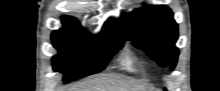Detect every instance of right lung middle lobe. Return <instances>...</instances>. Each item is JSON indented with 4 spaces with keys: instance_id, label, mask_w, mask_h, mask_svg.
<instances>
[{
    "instance_id": "right-lung-middle-lobe-1",
    "label": "right lung middle lobe",
    "mask_w": 220,
    "mask_h": 91,
    "mask_svg": "<svg viewBox=\"0 0 220 91\" xmlns=\"http://www.w3.org/2000/svg\"><path fill=\"white\" fill-rule=\"evenodd\" d=\"M53 46L59 55L53 57L55 71L64 72V83L102 71L112 56L123 46L124 39L116 32L87 34L83 28L56 30Z\"/></svg>"
}]
</instances>
